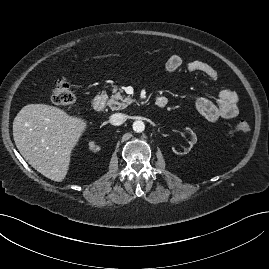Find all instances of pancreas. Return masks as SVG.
<instances>
[{"instance_id": "pancreas-1", "label": "pancreas", "mask_w": 269, "mask_h": 269, "mask_svg": "<svg viewBox=\"0 0 269 269\" xmlns=\"http://www.w3.org/2000/svg\"><path fill=\"white\" fill-rule=\"evenodd\" d=\"M122 90L118 88H114L112 90V96L107 101V105L110 107L111 110H120L126 108L130 105L134 100L122 95Z\"/></svg>"}]
</instances>
